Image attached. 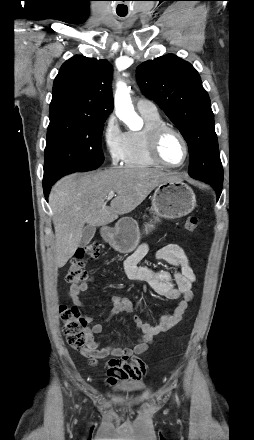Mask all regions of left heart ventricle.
Returning <instances> with one entry per match:
<instances>
[{"instance_id": "1", "label": "left heart ventricle", "mask_w": 254, "mask_h": 440, "mask_svg": "<svg viewBox=\"0 0 254 440\" xmlns=\"http://www.w3.org/2000/svg\"><path fill=\"white\" fill-rule=\"evenodd\" d=\"M162 158L169 164H180L184 159V147L181 140L173 133H167L160 145Z\"/></svg>"}]
</instances>
